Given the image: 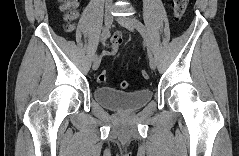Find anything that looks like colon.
Listing matches in <instances>:
<instances>
[{
    "label": "colon",
    "mask_w": 239,
    "mask_h": 156,
    "mask_svg": "<svg viewBox=\"0 0 239 156\" xmlns=\"http://www.w3.org/2000/svg\"><path fill=\"white\" fill-rule=\"evenodd\" d=\"M188 0H174L173 9L174 14L177 18H181L187 8ZM78 4L74 0H65L61 2L60 8L64 12V17L66 21V29L68 31L73 29L74 21L78 15L77 11ZM143 79H148V74L146 71L141 72ZM98 81L104 83L107 81V71L102 70L98 75ZM129 83L127 81H122L120 87L122 89L128 88Z\"/></svg>",
    "instance_id": "colon-1"
}]
</instances>
